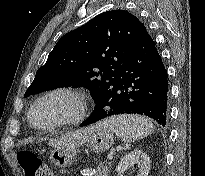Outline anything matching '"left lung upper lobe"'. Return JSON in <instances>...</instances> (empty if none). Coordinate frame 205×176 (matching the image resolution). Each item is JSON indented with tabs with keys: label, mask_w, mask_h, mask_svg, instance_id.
<instances>
[{
	"label": "left lung upper lobe",
	"mask_w": 205,
	"mask_h": 176,
	"mask_svg": "<svg viewBox=\"0 0 205 176\" xmlns=\"http://www.w3.org/2000/svg\"><path fill=\"white\" fill-rule=\"evenodd\" d=\"M145 31L144 24L127 11L97 15L56 43L24 96L83 86L97 103L117 79L123 62Z\"/></svg>",
	"instance_id": "obj_1"
}]
</instances>
